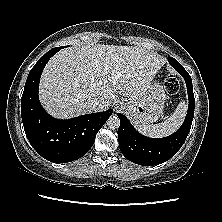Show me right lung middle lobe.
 I'll return each instance as SVG.
<instances>
[{
  "instance_id": "dd1d6c3e",
  "label": "right lung middle lobe",
  "mask_w": 222,
  "mask_h": 222,
  "mask_svg": "<svg viewBox=\"0 0 222 222\" xmlns=\"http://www.w3.org/2000/svg\"><path fill=\"white\" fill-rule=\"evenodd\" d=\"M65 46H62V47H58L59 49H62V48H64Z\"/></svg>"
}]
</instances>
